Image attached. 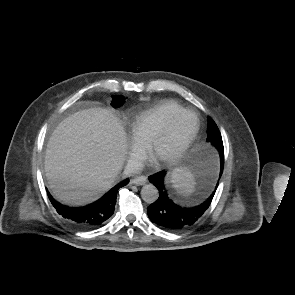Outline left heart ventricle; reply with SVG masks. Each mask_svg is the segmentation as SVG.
<instances>
[{"instance_id": "obj_1", "label": "left heart ventricle", "mask_w": 295, "mask_h": 295, "mask_svg": "<svg viewBox=\"0 0 295 295\" xmlns=\"http://www.w3.org/2000/svg\"><path fill=\"white\" fill-rule=\"evenodd\" d=\"M191 127H192L191 117H184L181 120H179L178 123L175 125L173 131L162 143L158 151V155L164 156L171 153L174 149H176L184 140L185 136L190 131Z\"/></svg>"}]
</instances>
